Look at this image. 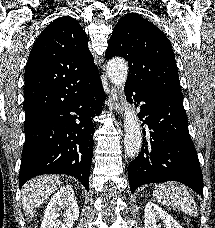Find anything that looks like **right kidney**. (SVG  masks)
I'll return each instance as SVG.
<instances>
[{"label":"right kidney","mask_w":215,"mask_h":228,"mask_svg":"<svg viewBox=\"0 0 215 228\" xmlns=\"http://www.w3.org/2000/svg\"><path fill=\"white\" fill-rule=\"evenodd\" d=\"M60 216H63V222H60ZM78 218L79 210L74 190L71 186H63L49 200L41 228H72Z\"/></svg>","instance_id":"right-kidney-1"}]
</instances>
